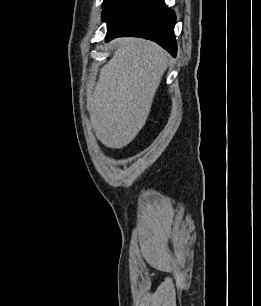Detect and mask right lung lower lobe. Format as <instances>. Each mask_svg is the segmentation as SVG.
I'll return each mask as SVG.
<instances>
[{
  "label": "right lung lower lobe",
  "mask_w": 261,
  "mask_h": 306,
  "mask_svg": "<svg viewBox=\"0 0 261 306\" xmlns=\"http://www.w3.org/2000/svg\"><path fill=\"white\" fill-rule=\"evenodd\" d=\"M102 16L107 22L106 42L121 36L142 37L155 41L176 56V15L164 0H112L103 9Z\"/></svg>",
  "instance_id": "obj_1"
}]
</instances>
